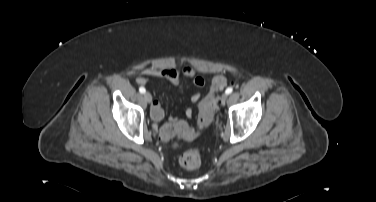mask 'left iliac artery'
I'll list each match as a JSON object with an SVG mask.
<instances>
[{"instance_id": "left-iliac-artery-1", "label": "left iliac artery", "mask_w": 376, "mask_h": 202, "mask_svg": "<svg viewBox=\"0 0 376 202\" xmlns=\"http://www.w3.org/2000/svg\"><path fill=\"white\" fill-rule=\"evenodd\" d=\"M232 91H233V88H232V87H228V88L226 89L225 93H226V94H230V93H232Z\"/></svg>"}]
</instances>
